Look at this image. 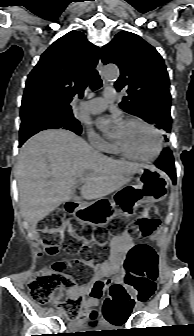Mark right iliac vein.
Wrapping results in <instances>:
<instances>
[{
	"instance_id": "obj_1",
	"label": "right iliac vein",
	"mask_w": 194,
	"mask_h": 336,
	"mask_svg": "<svg viewBox=\"0 0 194 336\" xmlns=\"http://www.w3.org/2000/svg\"><path fill=\"white\" fill-rule=\"evenodd\" d=\"M62 314H63V313H62V310H60V311L58 312V315H59V316H62Z\"/></svg>"
}]
</instances>
